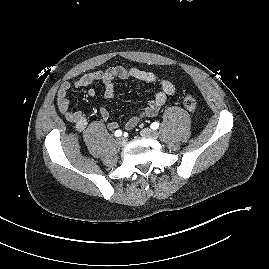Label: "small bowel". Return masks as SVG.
Wrapping results in <instances>:
<instances>
[{
  "label": "small bowel",
  "instance_id": "c3829d8e",
  "mask_svg": "<svg viewBox=\"0 0 269 269\" xmlns=\"http://www.w3.org/2000/svg\"><path fill=\"white\" fill-rule=\"evenodd\" d=\"M117 79H133L159 86V91L148 102L147 106L137 115H134L127 120L125 128L128 130L135 128L142 118L155 116L160 108L165 104L167 97L174 95L176 92V87L171 81L161 78L150 71L125 66H114L106 70L86 73L74 82V87L83 88L94 83H101L104 87V97L111 99L114 97L115 81ZM71 87L72 85L68 81L61 84L57 93V105L60 113L67 121L74 125L76 131L82 132L87 126V119L81 111L70 108L68 92ZM88 95L90 97H94L96 95V91L90 88L88 90ZM99 115L103 121L107 122V128L109 130H115L119 127L117 122L109 121V111L105 107H101L99 109Z\"/></svg>",
  "mask_w": 269,
  "mask_h": 269
}]
</instances>
